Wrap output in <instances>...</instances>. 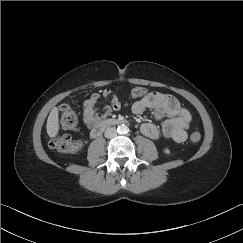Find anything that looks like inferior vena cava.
I'll list each match as a JSON object with an SVG mask.
<instances>
[{
	"label": "inferior vena cava",
	"instance_id": "obj_1",
	"mask_svg": "<svg viewBox=\"0 0 243 243\" xmlns=\"http://www.w3.org/2000/svg\"><path fill=\"white\" fill-rule=\"evenodd\" d=\"M116 135H117V130H116V128H114V127L107 128V129L105 130V133H104V136H105L106 138H113V137H115Z\"/></svg>",
	"mask_w": 243,
	"mask_h": 243
}]
</instances>
